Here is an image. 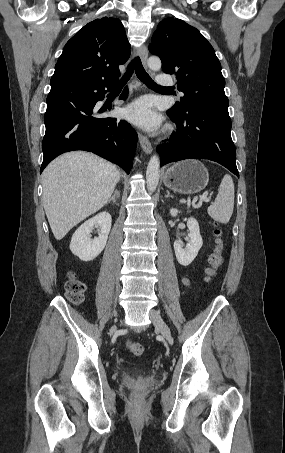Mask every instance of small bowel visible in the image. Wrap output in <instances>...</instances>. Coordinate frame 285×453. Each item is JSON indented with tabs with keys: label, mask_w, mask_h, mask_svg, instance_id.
<instances>
[{
	"label": "small bowel",
	"mask_w": 285,
	"mask_h": 453,
	"mask_svg": "<svg viewBox=\"0 0 285 453\" xmlns=\"http://www.w3.org/2000/svg\"><path fill=\"white\" fill-rule=\"evenodd\" d=\"M182 282H183V284H184L185 286H187V287L190 286V280H189V278L184 277V278L182 279Z\"/></svg>",
	"instance_id": "small-bowel-1"
}]
</instances>
